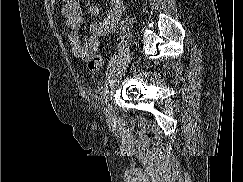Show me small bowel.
Returning a JSON list of instances; mask_svg holds the SVG:
<instances>
[{"mask_svg": "<svg viewBox=\"0 0 243 182\" xmlns=\"http://www.w3.org/2000/svg\"><path fill=\"white\" fill-rule=\"evenodd\" d=\"M61 9L68 29V37L73 55L76 58L88 61L93 53L98 50L100 38L113 32L121 21L124 10L122 0H108L112 9L101 21L92 22L89 26L90 34L82 38L79 29L86 18L96 17L100 13L97 5H90L86 12L83 11L79 0H63Z\"/></svg>", "mask_w": 243, "mask_h": 182, "instance_id": "obj_1", "label": "small bowel"}]
</instances>
